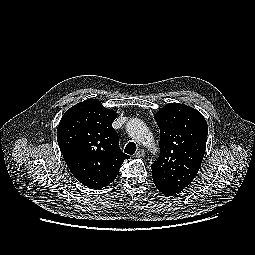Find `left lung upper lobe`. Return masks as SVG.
Segmentation results:
<instances>
[{"label":"left lung upper lobe","mask_w":255,"mask_h":255,"mask_svg":"<svg viewBox=\"0 0 255 255\" xmlns=\"http://www.w3.org/2000/svg\"><path fill=\"white\" fill-rule=\"evenodd\" d=\"M160 128V155L152 165L153 180L177 193L197 175L204 157L208 127L192 107L169 103L155 115Z\"/></svg>","instance_id":"1"}]
</instances>
